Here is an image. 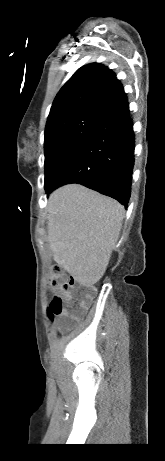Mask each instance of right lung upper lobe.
Instances as JSON below:
<instances>
[{
  "instance_id": "obj_1",
  "label": "right lung upper lobe",
  "mask_w": 165,
  "mask_h": 461,
  "mask_svg": "<svg viewBox=\"0 0 165 461\" xmlns=\"http://www.w3.org/2000/svg\"><path fill=\"white\" fill-rule=\"evenodd\" d=\"M127 108V96L115 73L100 63H92L79 68L60 89L47 124L56 119L81 115L106 120Z\"/></svg>"
}]
</instances>
